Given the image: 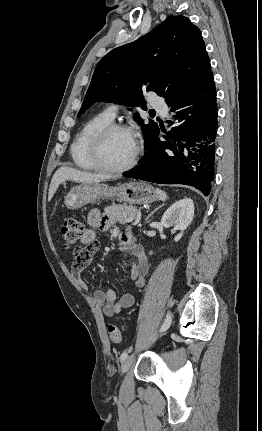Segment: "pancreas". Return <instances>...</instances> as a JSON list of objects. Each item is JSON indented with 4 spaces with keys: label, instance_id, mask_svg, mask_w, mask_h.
Listing matches in <instances>:
<instances>
[{
    "label": "pancreas",
    "instance_id": "1",
    "mask_svg": "<svg viewBox=\"0 0 262 431\" xmlns=\"http://www.w3.org/2000/svg\"><path fill=\"white\" fill-rule=\"evenodd\" d=\"M105 212L115 221H118L121 224H125L127 222L126 219L128 217L135 216L138 210L133 206L118 204L108 206L105 209Z\"/></svg>",
    "mask_w": 262,
    "mask_h": 431
}]
</instances>
